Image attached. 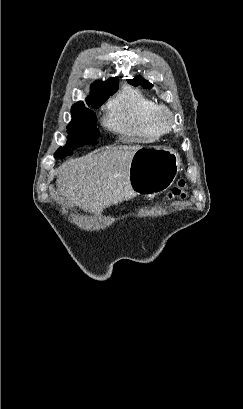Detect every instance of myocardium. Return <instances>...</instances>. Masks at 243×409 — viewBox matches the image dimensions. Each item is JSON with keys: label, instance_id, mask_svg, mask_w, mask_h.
<instances>
[{"label": "myocardium", "instance_id": "myocardium-1", "mask_svg": "<svg viewBox=\"0 0 243 409\" xmlns=\"http://www.w3.org/2000/svg\"><path fill=\"white\" fill-rule=\"evenodd\" d=\"M152 123L159 135L171 132L175 128V120L172 111L163 104H157L152 113Z\"/></svg>", "mask_w": 243, "mask_h": 409}]
</instances>
